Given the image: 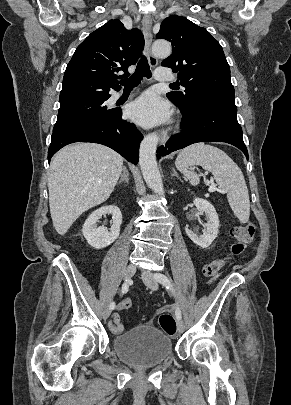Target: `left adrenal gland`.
I'll list each match as a JSON object with an SVG mask.
<instances>
[{"label":"left adrenal gland","instance_id":"obj_1","mask_svg":"<svg viewBox=\"0 0 291 405\" xmlns=\"http://www.w3.org/2000/svg\"><path fill=\"white\" fill-rule=\"evenodd\" d=\"M172 172H173L172 176H176L177 178H179V176H178V174H177V172H176V170L174 168H172Z\"/></svg>","mask_w":291,"mask_h":405}]
</instances>
